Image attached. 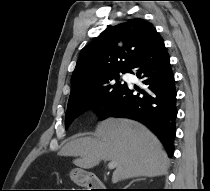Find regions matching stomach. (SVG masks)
I'll return each mask as SVG.
<instances>
[{
    "label": "stomach",
    "mask_w": 210,
    "mask_h": 191,
    "mask_svg": "<svg viewBox=\"0 0 210 191\" xmlns=\"http://www.w3.org/2000/svg\"><path fill=\"white\" fill-rule=\"evenodd\" d=\"M70 178L79 186H86L90 179V174L81 169H74L70 173Z\"/></svg>",
    "instance_id": "obj_1"
}]
</instances>
